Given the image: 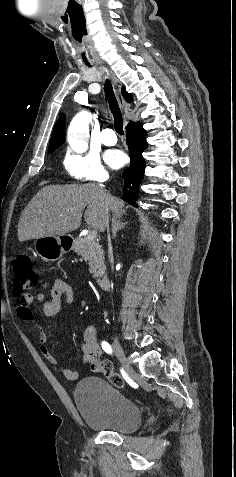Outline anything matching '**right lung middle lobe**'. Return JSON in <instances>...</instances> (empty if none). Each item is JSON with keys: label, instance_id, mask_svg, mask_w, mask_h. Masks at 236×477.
<instances>
[{"label": "right lung middle lobe", "instance_id": "right-lung-middle-lobe-1", "mask_svg": "<svg viewBox=\"0 0 236 477\" xmlns=\"http://www.w3.org/2000/svg\"><path fill=\"white\" fill-rule=\"evenodd\" d=\"M56 148L48 150L49 153H52Z\"/></svg>", "mask_w": 236, "mask_h": 477}]
</instances>
